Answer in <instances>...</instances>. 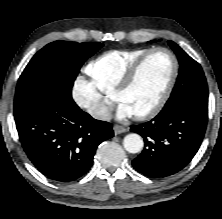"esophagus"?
Listing matches in <instances>:
<instances>
[{"mask_svg":"<svg viewBox=\"0 0 222 219\" xmlns=\"http://www.w3.org/2000/svg\"><path fill=\"white\" fill-rule=\"evenodd\" d=\"M113 130H114L115 135L127 132V128L120 126V125H115L113 127Z\"/></svg>","mask_w":222,"mask_h":219,"instance_id":"esophagus-1","label":"esophagus"}]
</instances>
